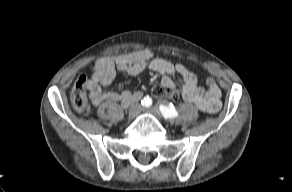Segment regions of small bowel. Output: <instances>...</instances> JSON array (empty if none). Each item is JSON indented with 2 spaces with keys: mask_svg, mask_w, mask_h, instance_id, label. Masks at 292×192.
Wrapping results in <instances>:
<instances>
[{
  "mask_svg": "<svg viewBox=\"0 0 292 192\" xmlns=\"http://www.w3.org/2000/svg\"><path fill=\"white\" fill-rule=\"evenodd\" d=\"M149 69L163 75L162 86L168 88L174 98L193 103L199 110L205 113H216L221 107V91L212 78H207L206 88L199 85L197 76L183 64H173L170 61L154 56L149 49L137 50L121 54L112 58H104L100 61L97 71L87 82V89L93 105L97 106L103 101L120 103L127 107L132 102L141 98L142 93L125 89L116 92L109 89L117 72L128 75H138ZM172 76L183 80V85L178 89Z\"/></svg>",
  "mask_w": 292,
  "mask_h": 192,
  "instance_id": "small-bowel-1",
  "label": "small bowel"
}]
</instances>
